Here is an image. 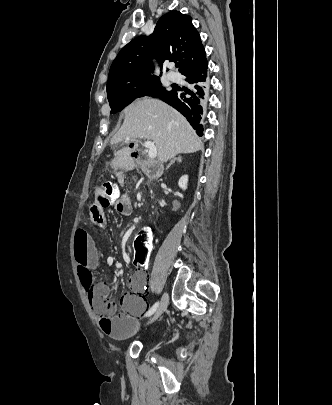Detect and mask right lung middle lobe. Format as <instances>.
<instances>
[{
    "label": "right lung middle lobe",
    "instance_id": "right-lung-middle-lobe-1",
    "mask_svg": "<svg viewBox=\"0 0 332 405\" xmlns=\"http://www.w3.org/2000/svg\"><path fill=\"white\" fill-rule=\"evenodd\" d=\"M158 77H143L127 79L107 90V96L111 107V114L123 110L137 97L151 95L160 97L167 93Z\"/></svg>",
    "mask_w": 332,
    "mask_h": 405
}]
</instances>
